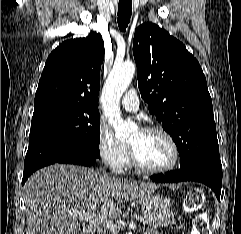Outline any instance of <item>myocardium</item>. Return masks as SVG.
Returning a JSON list of instances; mask_svg holds the SVG:
<instances>
[{
  "label": "myocardium",
  "mask_w": 241,
  "mask_h": 234,
  "mask_svg": "<svg viewBox=\"0 0 241 234\" xmlns=\"http://www.w3.org/2000/svg\"><path fill=\"white\" fill-rule=\"evenodd\" d=\"M143 133H160L162 134L170 143L172 150H173V159L170 164H168L165 167L162 168H151L146 165H144L137 154L136 149L129 144L128 151H129V158L131 165L138 171L150 174V175H159L164 174L167 172L172 171L178 164L180 159V149L179 146L175 140V138L172 136V134L167 131L165 128L161 126H148L141 129Z\"/></svg>",
  "instance_id": "myocardium-1"
}]
</instances>
